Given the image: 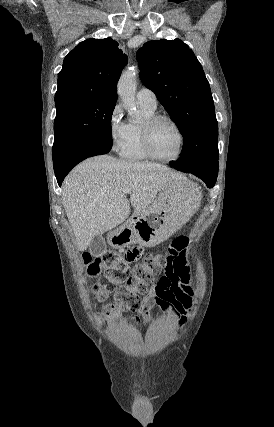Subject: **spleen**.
<instances>
[{"label":"spleen","mask_w":274,"mask_h":427,"mask_svg":"<svg viewBox=\"0 0 274 427\" xmlns=\"http://www.w3.org/2000/svg\"><path fill=\"white\" fill-rule=\"evenodd\" d=\"M196 186H197V184H196ZM198 194H199V198H201L200 188H199V192H198Z\"/></svg>","instance_id":"3e777b00"}]
</instances>
